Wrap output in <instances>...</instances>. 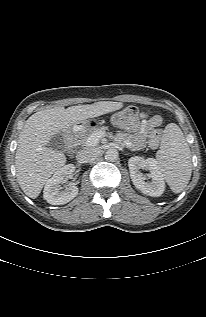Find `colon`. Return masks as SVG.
Wrapping results in <instances>:
<instances>
[{
  "instance_id": "colon-1",
  "label": "colon",
  "mask_w": 206,
  "mask_h": 317,
  "mask_svg": "<svg viewBox=\"0 0 206 317\" xmlns=\"http://www.w3.org/2000/svg\"><path fill=\"white\" fill-rule=\"evenodd\" d=\"M139 121V110L130 106L114 113L111 122L114 126L122 129L135 128Z\"/></svg>"
}]
</instances>
